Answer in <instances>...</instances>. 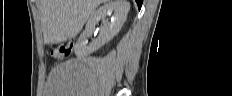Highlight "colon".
<instances>
[{"label":"colon","instance_id":"5ec220e1","mask_svg":"<svg viewBox=\"0 0 232 96\" xmlns=\"http://www.w3.org/2000/svg\"><path fill=\"white\" fill-rule=\"evenodd\" d=\"M74 43L72 41H67L60 46L56 47L52 51V55L59 59L67 58L73 51Z\"/></svg>","mask_w":232,"mask_h":96}]
</instances>
